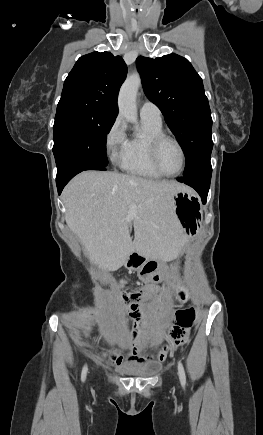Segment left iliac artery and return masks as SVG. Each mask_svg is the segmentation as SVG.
Wrapping results in <instances>:
<instances>
[{
	"label": "left iliac artery",
	"instance_id": "left-iliac-artery-1",
	"mask_svg": "<svg viewBox=\"0 0 263 435\" xmlns=\"http://www.w3.org/2000/svg\"><path fill=\"white\" fill-rule=\"evenodd\" d=\"M178 374H179V377H180L181 384L185 385V383H186V376H185L184 367H183L181 362H178Z\"/></svg>",
	"mask_w": 263,
	"mask_h": 435
}]
</instances>
